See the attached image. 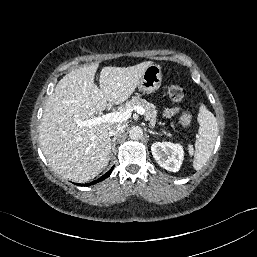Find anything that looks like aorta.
I'll return each mask as SVG.
<instances>
[{
  "mask_svg": "<svg viewBox=\"0 0 257 257\" xmlns=\"http://www.w3.org/2000/svg\"><path fill=\"white\" fill-rule=\"evenodd\" d=\"M143 136V130L139 126H133L129 131V137L133 140H138Z\"/></svg>",
  "mask_w": 257,
  "mask_h": 257,
  "instance_id": "aorta-1",
  "label": "aorta"
}]
</instances>
